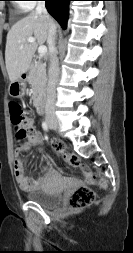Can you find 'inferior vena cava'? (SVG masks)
Returning <instances> with one entry per match:
<instances>
[{"label": "inferior vena cava", "mask_w": 133, "mask_h": 253, "mask_svg": "<svg viewBox=\"0 0 133 253\" xmlns=\"http://www.w3.org/2000/svg\"><path fill=\"white\" fill-rule=\"evenodd\" d=\"M35 12L36 14H43L49 21L47 43L50 50V66L48 70V84L46 89L45 114L47 119L55 120L56 84L58 82L60 72L57 52L55 49L56 26L51 21V18L47 13L45 1H38Z\"/></svg>", "instance_id": "obj_1"}]
</instances>
